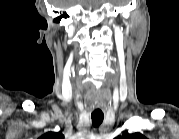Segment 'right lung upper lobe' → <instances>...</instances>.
I'll list each match as a JSON object with an SVG mask.
<instances>
[{
	"label": "right lung upper lobe",
	"mask_w": 179,
	"mask_h": 139,
	"mask_svg": "<svg viewBox=\"0 0 179 139\" xmlns=\"http://www.w3.org/2000/svg\"><path fill=\"white\" fill-rule=\"evenodd\" d=\"M64 135L61 132H48L40 137V139H63Z\"/></svg>",
	"instance_id": "obj_1"
}]
</instances>
